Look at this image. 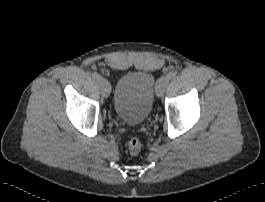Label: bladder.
I'll list each match as a JSON object with an SVG mask.
<instances>
[{"label": "bladder", "instance_id": "bladder-1", "mask_svg": "<svg viewBox=\"0 0 265 202\" xmlns=\"http://www.w3.org/2000/svg\"><path fill=\"white\" fill-rule=\"evenodd\" d=\"M158 81L148 72L124 74L117 82L113 106L125 123L140 124L149 116Z\"/></svg>", "mask_w": 265, "mask_h": 202}]
</instances>
